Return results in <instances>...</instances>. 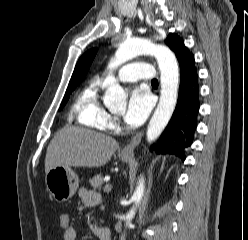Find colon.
I'll list each match as a JSON object with an SVG mask.
<instances>
[{
  "label": "colon",
  "instance_id": "obj_1",
  "mask_svg": "<svg viewBox=\"0 0 248 240\" xmlns=\"http://www.w3.org/2000/svg\"><path fill=\"white\" fill-rule=\"evenodd\" d=\"M71 226V216L68 213H61L59 216V227L61 230H66Z\"/></svg>",
  "mask_w": 248,
  "mask_h": 240
}]
</instances>
